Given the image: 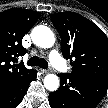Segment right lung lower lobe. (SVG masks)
Here are the masks:
<instances>
[{"mask_svg": "<svg viewBox=\"0 0 108 108\" xmlns=\"http://www.w3.org/2000/svg\"><path fill=\"white\" fill-rule=\"evenodd\" d=\"M36 74V70H31L24 78L14 83L0 86V108L17 107L22 102L30 82L35 80Z\"/></svg>", "mask_w": 108, "mask_h": 108, "instance_id": "98d812e1", "label": "right lung lower lobe"}]
</instances>
